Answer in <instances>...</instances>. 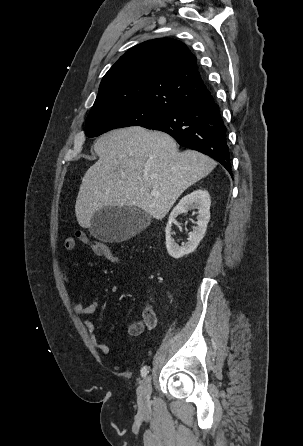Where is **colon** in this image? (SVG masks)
I'll list each match as a JSON object with an SVG mask.
<instances>
[{"label":"colon","instance_id":"5ec220e1","mask_svg":"<svg viewBox=\"0 0 303 446\" xmlns=\"http://www.w3.org/2000/svg\"><path fill=\"white\" fill-rule=\"evenodd\" d=\"M97 256L102 257L111 262L119 261L118 256H116L105 243L99 242V248L97 251Z\"/></svg>","mask_w":303,"mask_h":446}]
</instances>
